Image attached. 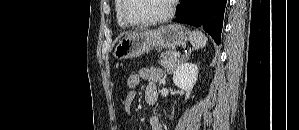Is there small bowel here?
<instances>
[{
    "label": "small bowel",
    "mask_w": 299,
    "mask_h": 130,
    "mask_svg": "<svg viewBox=\"0 0 299 130\" xmlns=\"http://www.w3.org/2000/svg\"><path fill=\"white\" fill-rule=\"evenodd\" d=\"M139 75L141 79L147 81L146 89H145V97L146 100L151 94H157V82L161 79L162 72L160 69L156 67H147L142 68L139 71ZM137 90L128 92L127 97L125 99V110L128 114H130V109L132 103L135 99ZM150 128L151 130H163L162 122L157 116H152L150 118Z\"/></svg>",
    "instance_id": "small-bowel-1"
}]
</instances>
